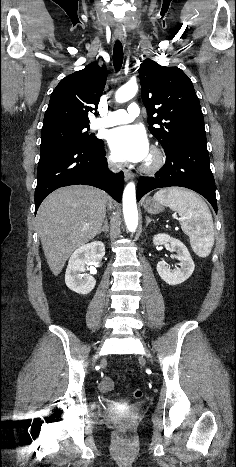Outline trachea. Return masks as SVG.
Returning a JSON list of instances; mask_svg holds the SVG:
<instances>
[{
    "label": "trachea",
    "mask_w": 236,
    "mask_h": 467,
    "mask_svg": "<svg viewBox=\"0 0 236 467\" xmlns=\"http://www.w3.org/2000/svg\"><path fill=\"white\" fill-rule=\"evenodd\" d=\"M123 63V46L120 41H117L113 49V65L116 71L121 69Z\"/></svg>",
    "instance_id": "obj_1"
}]
</instances>
